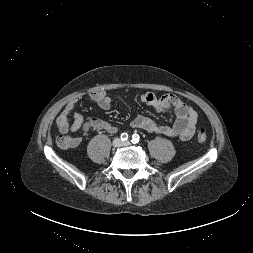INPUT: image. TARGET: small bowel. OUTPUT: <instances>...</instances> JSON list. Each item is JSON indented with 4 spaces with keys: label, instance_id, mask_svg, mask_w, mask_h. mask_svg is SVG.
<instances>
[{
    "label": "small bowel",
    "instance_id": "obj_1",
    "mask_svg": "<svg viewBox=\"0 0 253 253\" xmlns=\"http://www.w3.org/2000/svg\"><path fill=\"white\" fill-rule=\"evenodd\" d=\"M140 98L144 104L153 107L159 113H168L173 110L176 120L172 126H166L158 124L147 116L139 115L131 122V127L145 130L156 136H165L181 141H187L194 135L198 119L197 113L177 96L164 94L157 97L151 92H145ZM90 99L104 110H108L111 106V98L104 91L91 93ZM79 101L80 97L71 99L57 118L59 132L67 135L70 139L69 148L78 147L83 141L82 136L70 135V132L82 130L84 133H88L91 130H104L108 133H115L117 131V127L107 121L97 118L84 120L82 114L75 112ZM70 116H72V122L69 121Z\"/></svg>",
    "mask_w": 253,
    "mask_h": 253
}]
</instances>
